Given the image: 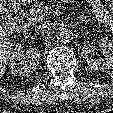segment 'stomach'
Segmentation results:
<instances>
[{
	"instance_id": "0dacf381",
	"label": "stomach",
	"mask_w": 113,
	"mask_h": 113,
	"mask_svg": "<svg viewBox=\"0 0 113 113\" xmlns=\"http://www.w3.org/2000/svg\"><path fill=\"white\" fill-rule=\"evenodd\" d=\"M19 1H22V2H31L33 0H19Z\"/></svg>"
}]
</instances>
